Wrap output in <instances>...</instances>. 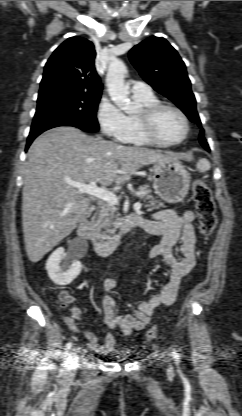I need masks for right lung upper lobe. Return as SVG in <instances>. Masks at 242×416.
Wrapping results in <instances>:
<instances>
[{"label": "right lung upper lobe", "mask_w": 242, "mask_h": 416, "mask_svg": "<svg viewBox=\"0 0 242 416\" xmlns=\"http://www.w3.org/2000/svg\"><path fill=\"white\" fill-rule=\"evenodd\" d=\"M96 52L87 39L71 37L48 59L39 95L55 91L101 94L102 84L94 66Z\"/></svg>", "instance_id": "cb5924a9"}]
</instances>
